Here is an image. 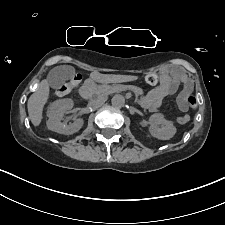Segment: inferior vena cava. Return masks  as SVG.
<instances>
[{
  "label": "inferior vena cava",
  "mask_w": 225,
  "mask_h": 225,
  "mask_svg": "<svg viewBox=\"0 0 225 225\" xmlns=\"http://www.w3.org/2000/svg\"><path fill=\"white\" fill-rule=\"evenodd\" d=\"M103 100V97H97L95 99H92V101L89 103L90 105H95L100 103Z\"/></svg>",
  "instance_id": "1"
}]
</instances>
